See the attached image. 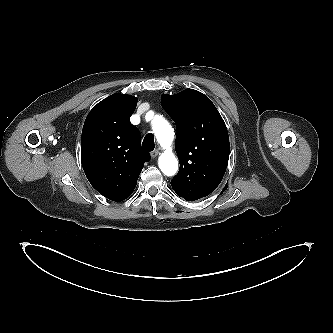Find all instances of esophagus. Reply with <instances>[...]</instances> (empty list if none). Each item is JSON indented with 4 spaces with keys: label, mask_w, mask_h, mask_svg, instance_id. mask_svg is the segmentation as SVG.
Wrapping results in <instances>:
<instances>
[{
    "label": "esophagus",
    "mask_w": 333,
    "mask_h": 333,
    "mask_svg": "<svg viewBox=\"0 0 333 333\" xmlns=\"http://www.w3.org/2000/svg\"><path fill=\"white\" fill-rule=\"evenodd\" d=\"M150 155L152 158H156L159 155V150L155 149V150L151 151Z\"/></svg>",
    "instance_id": "esophagus-1"
}]
</instances>
